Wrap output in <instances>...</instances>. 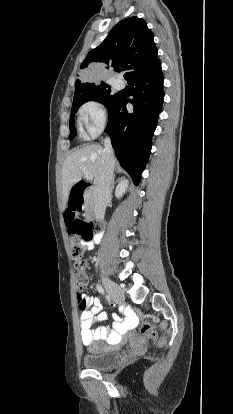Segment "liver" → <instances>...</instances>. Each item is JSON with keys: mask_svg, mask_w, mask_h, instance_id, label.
<instances>
[{"mask_svg": "<svg viewBox=\"0 0 233 414\" xmlns=\"http://www.w3.org/2000/svg\"><path fill=\"white\" fill-rule=\"evenodd\" d=\"M103 148L100 145H87L69 155L62 168L63 206L67 207L71 188L79 182L85 173L96 177L102 160ZM84 169V170H83Z\"/></svg>", "mask_w": 233, "mask_h": 414, "instance_id": "obj_1", "label": "liver"}]
</instances>
